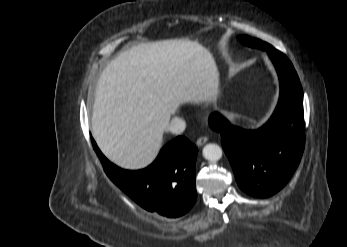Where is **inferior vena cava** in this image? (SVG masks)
<instances>
[{"label": "inferior vena cava", "mask_w": 347, "mask_h": 247, "mask_svg": "<svg viewBox=\"0 0 347 247\" xmlns=\"http://www.w3.org/2000/svg\"><path fill=\"white\" fill-rule=\"evenodd\" d=\"M186 128V123L179 117H174L167 127V130L173 134H181Z\"/></svg>", "instance_id": "inferior-vena-cava-1"}]
</instances>
